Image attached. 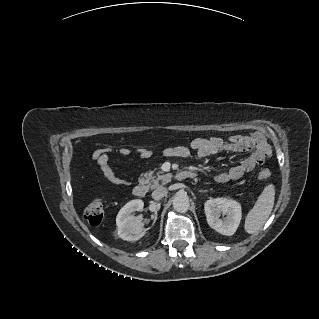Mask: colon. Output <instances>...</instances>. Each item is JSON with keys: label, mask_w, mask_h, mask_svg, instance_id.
I'll use <instances>...</instances> for the list:
<instances>
[{"label": "colon", "mask_w": 319, "mask_h": 319, "mask_svg": "<svg viewBox=\"0 0 319 319\" xmlns=\"http://www.w3.org/2000/svg\"><path fill=\"white\" fill-rule=\"evenodd\" d=\"M269 151L266 150V153ZM260 179L268 180L271 178V172L268 169H261L258 173ZM84 217L91 225H99L104 217V206L100 199H93L84 209Z\"/></svg>", "instance_id": "colon-1"}]
</instances>
